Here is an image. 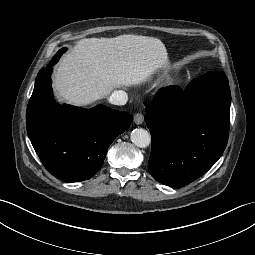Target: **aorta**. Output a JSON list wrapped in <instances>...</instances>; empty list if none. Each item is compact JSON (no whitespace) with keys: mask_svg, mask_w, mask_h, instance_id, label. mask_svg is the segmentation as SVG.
<instances>
[{"mask_svg":"<svg viewBox=\"0 0 255 255\" xmlns=\"http://www.w3.org/2000/svg\"><path fill=\"white\" fill-rule=\"evenodd\" d=\"M131 141L139 148H146L151 143V136L148 131L136 128L131 132Z\"/></svg>","mask_w":255,"mask_h":255,"instance_id":"1","label":"aorta"}]
</instances>
